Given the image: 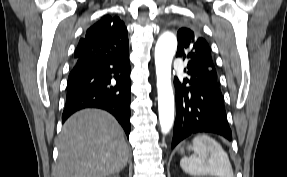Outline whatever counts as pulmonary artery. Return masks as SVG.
Listing matches in <instances>:
<instances>
[{"mask_svg":"<svg viewBox=\"0 0 287 177\" xmlns=\"http://www.w3.org/2000/svg\"><path fill=\"white\" fill-rule=\"evenodd\" d=\"M181 63H182L181 58H176L175 61H174V64L177 65V66L181 65Z\"/></svg>","mask_w":287,"mask_h":177,"instance_id":"obj_1","label":"pulmonary artery"}]
</instances>
